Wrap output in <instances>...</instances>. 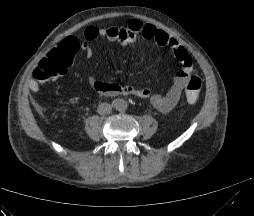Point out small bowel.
I'll list each match as a JSON object with an SVG mask.
<instances>
[{"mask_svg":"<svg viewBox=\"0 0 254 216\" xmlns=\"http://www.w3.org/2000/svg\"><path fill=\"white\" fill-rule=\"evenodd\" d=\"M138 37L153 40L160 46L169 48L181 64L182 68L176 73L172 84L168 89L163 93H152L149 89L139 88L133 85L99 81H95L93 87L97 92L105 96L136 95L144 99H149L158 111L163 113L169 112L179 102L182 91L192 72L191 56L186 49L177 42V40L155 26L143 24L138 20L130 21L127 26H110L102 28L88 26L84 30V38L86 41L105 38L111 42H118L122 46H128L135 43ZM54 49H65L71 54H74L80 49L87 55H90L88 44L80 43L78 39L73 36L63 39ZM40 84L41 83L36 80L34 75V78L30 81L29 85L31 90L36 91Z\"/></svg>","mask_w":254,"mask_h":216,"instance_id":"obj_1","label":"small bowel"}]
</instances>
